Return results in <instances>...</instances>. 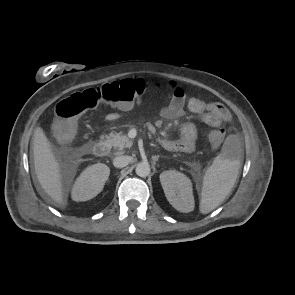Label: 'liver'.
Segmentation results:
<instances>
[{
    "label": "liver",
    "instance_id": "1",
    "mask_svg": "<svg viewBox=\"0 0 295 295\" xmlns=\"http://www.w3.org/2000/svg\"><path fill=\"white\" fill-rule=\"evenodd\" d=\"M34 166L37 179L44 192L60 207L66 205L61 167L41 127L33 135Z\"/></svg>",
    "mask_w": 295,
    "mask_h": 295
}]
</instances>
